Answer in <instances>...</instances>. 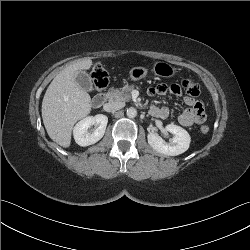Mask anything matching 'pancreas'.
I'll list each match as a JSON object with an SVG mask.
<instances>
[{
	"mask_svg": "<svg viewBox=\"0 0 250 250\" xmlns=\"http://www.w3.org/2000/svg\"><path fill=\"white\" fill-rule=\"evenodd\" d=\"M133 89V86H124L120 89L111 88L108 91V97L109 101H130L131 100V91Z\"/></svg>",
	"mask_w": 250,
	"mask_h": 250,
	"instance_id": "pancreas-1",
	"label": "pancreas"
}]
</instances>
